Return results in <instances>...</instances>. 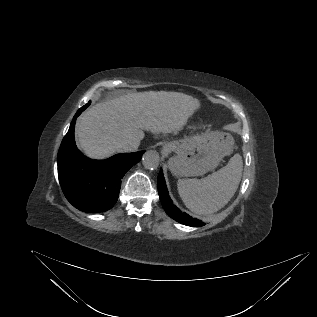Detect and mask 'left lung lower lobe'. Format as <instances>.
Wrapping results in <instances>:
<instances>
[{"instance_id": "1", "label": "left lung lower lobe", "mask_w": 317, "mask_h": 317, "mask_svg": "<svg viewBox=\"0 0 317 317\" xmlns=\"http://www.w3.org/2000/svg\"><path fill=\"white\" fill-rule=\"evenodd\" d=\"M158 193L166 213L171 218L178 221L179 223H182L188 226L200 227L204 225V223H202L201 221H197L196 219L189 216L187 213L181 212L179 208L173 205V202L170 199L168 194V190L166 187L162 169L160 170L158 175Z\"/></svg>"}]
</instances>
